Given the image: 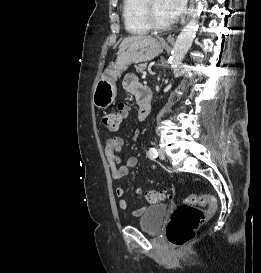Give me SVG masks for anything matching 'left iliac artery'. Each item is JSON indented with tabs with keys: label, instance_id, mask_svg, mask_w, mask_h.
I'll use <instances>...</instances> for the list:
<instances>
[{
	"label": "left iliac artery",
	"instance_id": "left-iliac-artery-1",
	"mask_svg": "<svg viewBox=\"0 0 261 273\" xmlns=\"http://www.w3.org/2000/svg\"><path fill=\"white\" fill-rule=\"evenodd\" d=\"M149 156L152 158H157L158 157L157 150L155 148H150L149 149Z\"/></svg>",
	"mask_w": 261,
	"mask_h": 273
}]
</instances>
